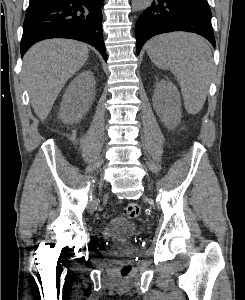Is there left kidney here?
Returning <instances> with one entry per match:
<instances>
[{"label": "left kidney", "instance_id": "left-kidney-1", "mask_svg": "<svg viewBox=\"0 0 245 300\" xmlns=\"http://www.w3.org/2000/svg\"><path fill=\"white\" fill-rule=\"evenodd\" d=\"M153 105L165 125L170 127L178 123L181 116L180 96L171 82L161 80L155 84Z\"/></svg>", "mask_w": 245, "mask_h": 300}]
</instances>
